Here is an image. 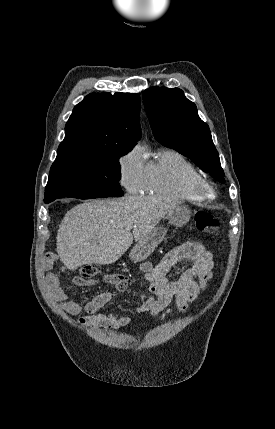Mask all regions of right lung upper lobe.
Segmentation results:
<instances>
[{
	"label": "right lung upper lobe",
	"mask_w": 275,
	"mask_h": 429,
	"mask_svg": "<svg viewBox=\"0 0 275 429\" xmlns=\"http://www.w3.org/2000/svg\"><path fill=\"white\" fill-rule=\"evenodd\" d=\"M140 96L91 93L75 106L58 155L129 152L141 138Z\"/></svg>",
	"instance_id": "obj_1"
}]
</instances>
